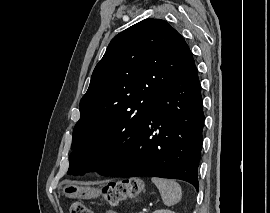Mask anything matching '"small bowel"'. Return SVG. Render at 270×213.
Masks as SVG:
<instances>
[{
    "label": "small bowel",
    "mask_w": 270,
    "mask_h": 213,
    "mask_svg": "<svg viewBox=\"0 0 270 213\" xmlns=\"http://www.w3.org/2000/svg\"><path fill=\"white\" fill-rule=\"evenodd\" d=\"M105 213H117V212H115V211H113V210H108V211H106Z\"/></svg>",
    "instance_id": "obj_1"
}]
</instances>
